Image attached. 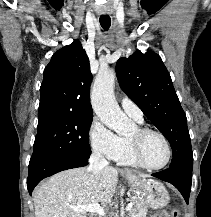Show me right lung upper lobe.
I'll return each instance as SVG.
<instances>
[{
  "label": "right lung upper lobe",
  "instance_id": "obj_1",
  "mask_svg": "<svg viewBox=\"0 0 211 217\" xmlns=\"http://www.w3.org/2000/svg\"><path fill=\"white\" fill-rule=\"evenodd\" d=\"M88 56L79 41L53 54L40 88L39 118L54 114L92 115Z\"/></svg>",
  "mask_w": 211,
  "mask_h": 217
}]
</instances>
